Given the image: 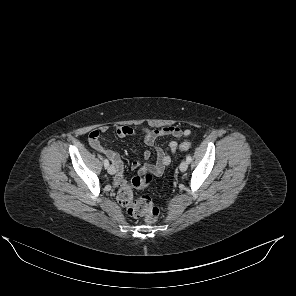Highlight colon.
Returning a JSON list of instances; mask_svg holds the SVG:
<instances>
[{
  "mask_svg": "<svg viewBox=\"0 0 296 296\" xmlns=\"http://www.w3.org/2000/svg\"><path fill=\"white\" fill-rule=\"evenodd\" d=\"M192 143L184 141L180 143V151H188L191 149ZM154 175L151 172L139 173L132 180V186H123L118 193L119 202L127 208L128 214L136 218H144L147 223H155L159 216L158 208L153 204L148 196H142L137 200H133L132 187L144 188L153 181Z\"/></svg>",
  "mask_w": 296,
  "mask_h": 296,
  "instance_id": "colon-1",
  "label": "colon"
}]
</instances>
